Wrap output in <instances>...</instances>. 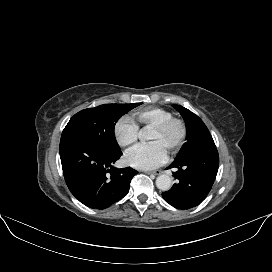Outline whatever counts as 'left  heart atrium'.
<instances>
[{
	"mask_svg": "<svg viewBox=\"0 0 272 272\" xmlns=\"http://www.w3.org/2000/svg\"><path fill=\"white\" fill-rule=\"evenodd\" d=\"M166 158V149L159 142L138 146L126 156V160L131 166L143 170L160 166Z\"/></svg>",
	"mask_w": 272,
	"mask_h": 272,
	"instance_id": "left-heart-atrium-1",
	"label": "left heart atrium"
}]
</instances>
